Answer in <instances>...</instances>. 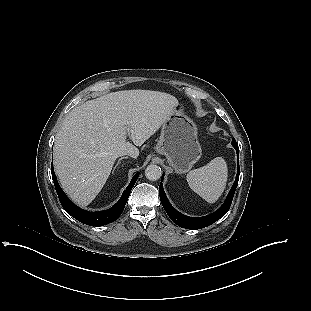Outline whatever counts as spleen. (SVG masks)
Wrapping results in <instances>:
<instances>
[{"label": "spleen", "instance_id": "1", "mask_svg": "<svg viewBox=\"0 0 311 311\" xmlns=\"http://www.w3.org/2000/svg\"><path fill=\"white\" fill-rule=\"evenodd\" d=\"M228 168L222 157H216L208 164L191 170L186 178L189 187L208 203L216 202L224 192Z\"/></svg>", "mask_w": 311, "mask_h": 311}]
</instances>
